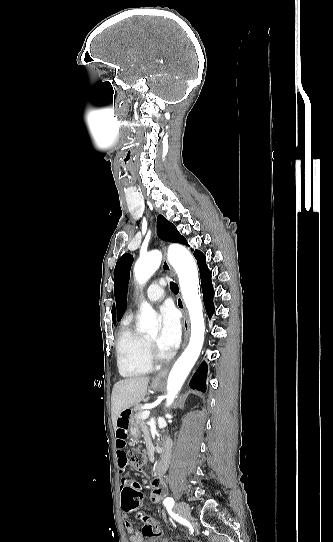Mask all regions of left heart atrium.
I'll return each mask as SVG.
<instances>
[{
	"mask_svg": "<svg viewBox=\"0 0 333 542\" xmlns=\"http://www.w3.org/2000/svg\"><path fill=\"white\" fill-rule=\"evenodd\" d=\"M161 316L162 330L158 342L168 354H172L176 350L181 336L180 318L172 305H164L161 309Z\"/></svg>",
	"mask_w": 333,
	"mask_h": 542,
	"instance_id": "1",
	"label": "left heart atrium"
}]
</instances>
